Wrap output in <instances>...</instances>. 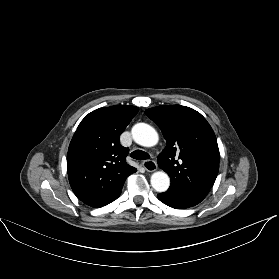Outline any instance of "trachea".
I'll use <instances>...</instances> for the list:
<instances>
[{
    "mask_svg": "<svg viewBox=\"0 0 279 279\" xmlns=\"http://www.w3.org/2000/svg\"><path fill=\"white\" fill-rule=\"evenodd\" d=\"M131 157L135 160H147L150 158V156L148 155V153H146L143 150H135L134 152L131 153Z\"/></svg>",
    "mask_w": 279,
    "mask_h": 279,
    "instance_id": "trachea-1",
    "label": "trachea"
}]
</instances>
